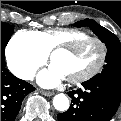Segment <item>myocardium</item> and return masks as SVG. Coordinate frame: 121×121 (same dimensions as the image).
Masks as SVG:
<instances>
[{
  "mask_svg": "<svg viewBox=\"0 0 121 121\" xmlns=\"http://www.w3.org/2000/svg\"><path fill=\"white\" fill-rule=\"evenodd\" d=\"M87 43H96L99 48H100V56L98 62L88 71L85 73L72 77V78H67V82L70 84H79L83 83L85 81H88L98 75L102 69L104 68L106 61H107V56H108V47L107 44L103 39L97 36H87L85 38L79 39L75 41L72 44L69 45H58L54 47L50 52H49V61L51 62L52 57L59 52H63L66 54L73 55L75 51L83 46H85Z\"/></svg>",
  "mask_w": 121,
  "mask_h": 121,
  "instance_id": "f54148a6",
  "label": "myocardium"
}]
</instances>
